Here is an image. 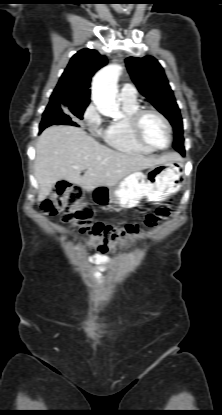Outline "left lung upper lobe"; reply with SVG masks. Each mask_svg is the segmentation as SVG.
<instances>
[{
	"label": "left lung upper lobe",
	"mask_w": 222,
	"mask_h": 415,
	"mask_svg": "<svg viewBox=\"0 0 222 415\" xmlns=\"http://www.w3.org/2000/svg\"><path fill=\"white\" fill-rule=\"evenodd\" d=\"M125 62L139 92L170 121L174 128L173 147L182 154L185 151L182 118L162 66L152 56L129 57Z\"/></svg>",
	"instance_id": "left-lung-upper-lobe-1"
}]
</instances>
